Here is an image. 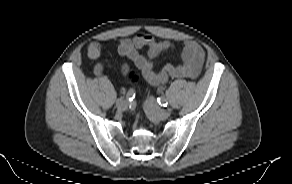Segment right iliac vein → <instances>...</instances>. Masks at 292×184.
Listing matches in <instances>:
<instances>
[{
    "instance_id": "right-iliac-vein-1",
    "label": "right iliac vein",
    "mask_w": 292,
    "mask_h": 184,
    "mask_svg": "<svg viewBox=\"0 0 292 184\" xmlns=\"http://www.w3.org/2000/svg\"><path fill=\"white\" fill-rule=\"evenodd\" d=\"M128 104V101L124 98H119L116 100V106L118 109H123Z\"/></svg>"
}]
</instances>
